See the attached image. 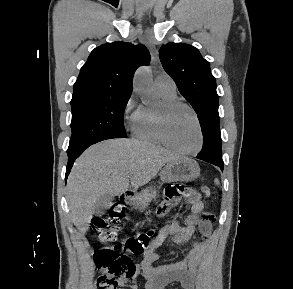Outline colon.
<instances>
[{
    "label": "colon",
    "instance_id": "obj_1",
    "mask_svg": "<svg viewBox=\"0 0 293 289\" xmlns=\"http://www.w3.org/2000/svg\"><path fill=\"white\" fill-rule=\"evenodd\" d=\"M187 191L182 184H170L166 187V201L158 208V214L167 215L181 196ZM201 191L205 196L211 195L208 185H202ZM123 208L113 204L106 215L94 217L91 228L97 238L106 243H113L119 237V224L123 216ZM154 230L141 232L119 242L114 248H103L95 254V264L100 271L97 289H114L124 276H131L136 267L131 255H141L153 244Z\"/></svg>",
    "mask_w": 293,
    "mask_h": 289
}]
</instances>
